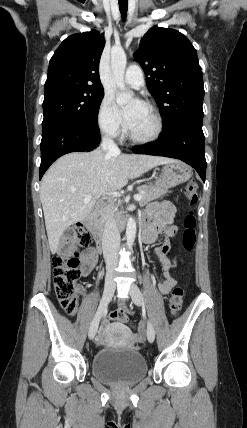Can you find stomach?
I'll return each mask as SVG.
<instances>
[{"instance_id":"obj_1","label":"stomach","mask_w":247,"mask_h":428,"mask_svg":"<svg viewBox=\"0 0 247 428\" xmlns=\"http://www.w3.org/2000/svg\"><path fill=\"white\" fill-rule=\"evenodd\" d=\"M156 186L172 188L188 181L191 176V168L183 162L176 161L167 163L155 172Z\"/></svg>"}]
</instances>
